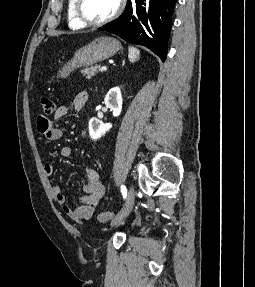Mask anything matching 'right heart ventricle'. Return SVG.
Instances as JSON below:
<instances>
[{
  "mask_svg": "<svg viewBox=\"0 0 255 287\" xmlns=\"http://www.w3.org/2000/svg\"><path fill=\"white\" fill-rule=\"evenodd\" d=\"M85 48H102V47H85Z\"/></svg>",
  "mask_w": 255,
  "mask_h": 287,
  "instance_id": "right-heart-ventricle-1",
  "label": "right heart ventricle"
}]
</instances>
